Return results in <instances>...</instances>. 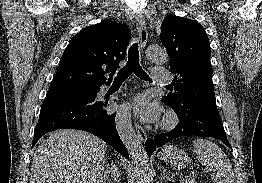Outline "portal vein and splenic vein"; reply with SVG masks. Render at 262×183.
I'll list each match as a JSON object with an SVG mask.
<instances>
[{
	"instance_id": "obj_1",
	"label": "portal vein and splenic vein",
	"mask_w": 262,
	"mask_h": 183,
	"mask_svg": "<svg viewBox=\"0 0 262 183\" xmlns=\"http://www.w3.org/2000/svg\"><path fill=\"white\" fill-rule=\"evenodd\" d=\"M211 171H212L211 169H207L206 173H211ZM185 181H188V178H186Z\"/></svg>"
}]
</instances>
